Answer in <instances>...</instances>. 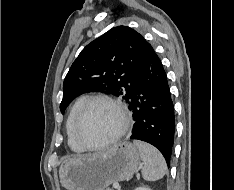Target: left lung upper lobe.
<instances>
[{
	"mask_svg": "<svg viewBox=\"0 0 234 190\" xmlns=\"http://www.w3.org/2000/svg\"><path fill=\"white\" fill-rule=\"evenodd\" d=\"M143 39L135 30L117 26L88 44L65 77L61 112L75 97L86 92H107L129 102Z\"/></svg>",
	"mask_w": 234,
	"mask_h": 190,
	"instance_id": "5c2ea615",
	"label": "left lung upper lobe"
}]
</instances>
